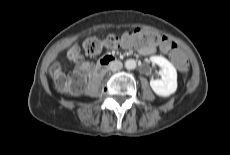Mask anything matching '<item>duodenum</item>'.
Wrapping results in <instances>:
<instances>
[{
    "instance_id": "1",
    "label": "duodenum",
    "mask_w": 230,
    "mask_h": 155,
    "mask_svg": "<svg viewBox=\"0 0 230 155\" xmlns=\"http://www.w3.org/2000/svg\"><path fill=\"white\" fill-rule=\"evenodd\" d=\"M118 59L112 55L103 56L93 70V77L100 75L108 66L116 63Z\"/></svg>"
}]
</instances>
